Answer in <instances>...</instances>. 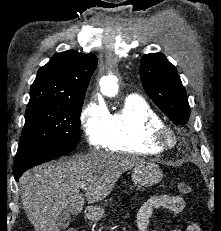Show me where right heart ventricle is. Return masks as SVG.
<instances>
[{
    "instance_id": "e07e8e85",
    "label": "right heart ventricle",
    "mask_w": 221,
    "mask_h": 231,
    "mask_svg": "<svg viewBox=\"0 0 221 231\" xmlns=\"http://www.w3.org/2000/svg\"><path fill=\"white\" fill-rule=\"evenodd\" d=\"M163 124L160 116L139 96L127 97L121 106L110 114L104 146L112 151L134 154H159L149 135L154 126Z\"/></svg>"
}]
</instances>
